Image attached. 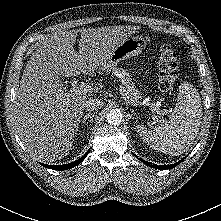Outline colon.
I'll return each instance as SVG.
<instances>
[{
    "label": "colon",
    "mask_w": 221,
    "mask_h": 221,
    "mask_svg": "<svg viewBox=\"0 0 221 221\" xmlns=\"http://www.w3.org/2000/svg\"><path fill=\"white\" fill-rule=\"evenodd\" d=\"M159 87L163 91H169L173 86L178 76V58L175 51L164 46L161 49L159 60Z\"/></svg>",
    "instance_id": "5ec220e1"
}]
</instances>
